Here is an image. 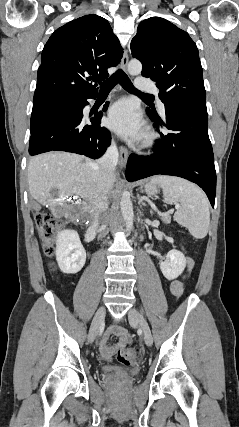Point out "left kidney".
Listing matches in <instances>:
<instances>
[{
    "instance_id": "obj_1",
    "label": "left kidney",
    "mask_w": 239,
    "mask_h": 427,
    "mask_svg": "<svg viewBox=\"0 0 239 427\" xmlns=\"http://www.w3.org/2000/svg\"><path fill=\"white\" fill-rule=\"evenodd\" d=\"M186 266L184 254L178 250H170L164 262H160V269L168 280L176 279L182 274Z\"/></svg>"
}]
</instances>
